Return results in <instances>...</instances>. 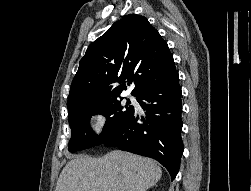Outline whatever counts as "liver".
Masks as SVG:
<instances>
[{"label": "liver", "instance_id": "obj_1", "mask_svg": "<svg viewBox=\"0 0 251 191\" xmlns=\"http://www.w3.org/2000/svg\"><path fill=\"white\" fill-rule=\"evenodd\" d=\"M161 175L153 159L114 149L103 157L75 155L63 167L55 191H146Z\"/></svg>", "mask_w": 251, "mask_h": 191}]
</instances>
